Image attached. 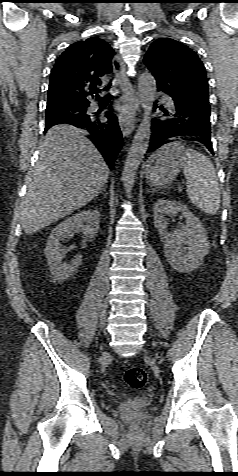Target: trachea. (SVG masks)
Listing matches in <instances>:
<instances>
[{"mask_svg":"<svg viewBox=\"0 0 238 476\" xmlns=\"http://www.w3.org/2000/svg\"><path fill=\"white\" fill-rule=\"evenodd\" d=\"M110 87H111V84L105 88L106 94L100 99V101L102 102L109 101L112 98L111 93H109Z\"/></svg>","mask_w":238,"mask_h":476,"instance_id":"3493384b","label":"trachea"}]
</instances>
